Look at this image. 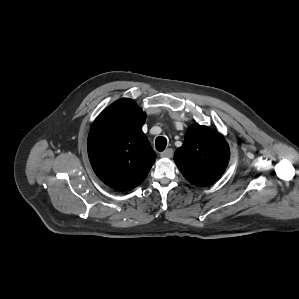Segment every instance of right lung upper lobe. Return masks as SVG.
<instances>
[{"instance_id": "right-lung-upper-lobe-1", "label": "right lung upper lobe", "mask_w": 299, "mask_h": 299, "mask_svg": "<svg viewBox=\"0 0 299 299\" xmlns=\"http://www.w3.org/2000/svg\"><path fill=\"white\" fill-rule=\"evenodd\" d=\"M145 113L132 99L122 98L103 110L88 136L91 166L109 187L125 191L139 186L156 154L142 132Z\"/></svg>"}]
</instances>
